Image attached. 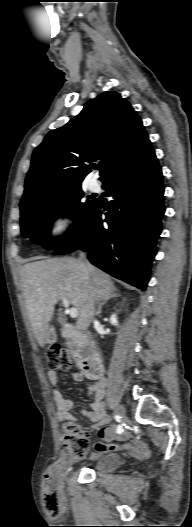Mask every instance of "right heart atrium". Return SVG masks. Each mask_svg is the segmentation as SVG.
Masks as SVG:
<instances>
[{
	"label": "right heart atrium",
	"instance_id": "1",
	"mask_svg": "<svg viewBox=\"0 0 192 527\" xmlns=\"http://www.w3.org/2000/svg\"><path fill=\"white\" fill-rule=\"evenodd\" d=\"M72 214L66 207L56 209L49 217L46 235L51 243L62 241L72 231Z\"/></svg>",
	"mask_w": 192,
	"mask_h": 527
}]
</instances>
